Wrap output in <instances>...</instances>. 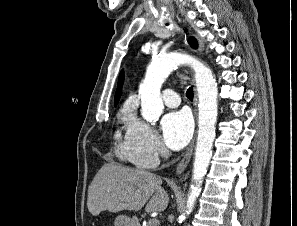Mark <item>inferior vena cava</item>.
Instances as JSON below:
<instances>
[{
    "label": "inferior vena cava",
    "instance_id": "inferior-vena-cava-1",
    "mask_svg": "<svg viewBox=\"0 0 297 226\" xmlns=\"http://www.w3.org/2000/svg\"><path fill=\"white\" fill-rule=\"evenodd\" d=\"M161 156L165 159H167L169 156H170V152L168 149L166 148H163L162 151H161Z\"/></svg>",
    "mask_w": 297,
    "mask_h": 226
}]
</instances>
